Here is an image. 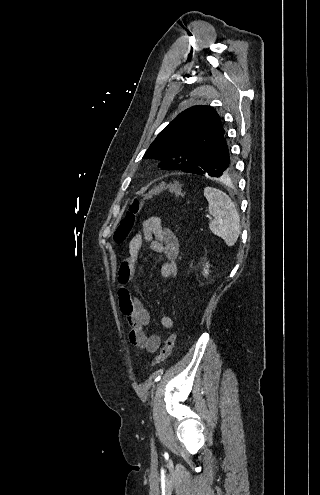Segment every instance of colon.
<instances>
[{"mask_svg":"<svg viewBox=\"0 0 320 495\" xmlns=\"http://www.w3.org/2000/svg\"><path fill=\"white\" fill-rule=\"evenodd\" d=\"M162 192H167L173 194L177 197H183L184 189L177 182H161L159 185L155 186L151 191L143 195L139 199H135L129 206V211L126 216L122 219L121 223L117 227L114 233V240L116 243H123L129 236L132 227L134 225L135 216L139 212L141 205L152 198L154 195H157ZM177 335L175 332H171L165 340V343L157 356L153 366H158L162 364L171 354Z\"/></svg>","mask_w":320,"mask_h":495,"instance_id":"obj_1","label":"colon"}]
</instances>
